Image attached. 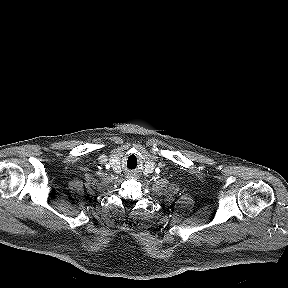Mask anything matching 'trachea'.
Returning <instances> with one entry per match:
<instances>
[{
    "mask_svg": "<svg viewBox=\"0 0 288 288\" xmlns=\"http://www.w3.org/2000/svg\"><path fill=\"white\" fill-rule=\"evenodd\" d=\"M138 164V157L135 154H131L127 159V166L129 168H135Z\"/></svg>",
    "mask_w": 288,
    "mask_h": 288,
    "instance_id": "trachea-1",
    "label": "trachea"
}]
</instances>
